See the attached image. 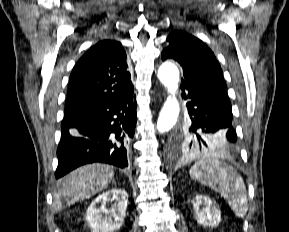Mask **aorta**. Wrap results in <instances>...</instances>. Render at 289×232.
Returning <instances> with one entry per match:
<instances>
[{
  "mask_svg": "<svg viewBox=\"0 0 289 232\" xmlns=\"http://www.w3.org/2000/svg\"><path fill=\"white\" fill-rule=\"evenodd\" d=\"M157 76L170 94L163 105L157 121L158 132L165 133L174 127L180 113V104L176 98L179 70L175 64L165 62L160 66Z\"/></svg>",
  "mask_w": 289,
  "mask_h": 232,
  "instance_id": "aorta-1",
  "label": "aorta"
}]
</instances>
